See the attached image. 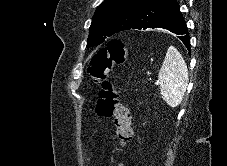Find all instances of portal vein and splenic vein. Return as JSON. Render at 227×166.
<instances>
[{
	"instance_id": "portal-vein-and-splenic-vein-1",
	"label": "portal vein and splenic vein",
	"mask_w": 227,
	"mask_h": 166,
	"mask_svg": "<svg viewBox=\"0 0 227 166\" xmlns=\"http://www.w3.org/2000/svg\"><path fill=\"white\" fill-rule=\"evenodd\" d=\"M155 85H159V81L155 82Z\"/></svg>"
}]
</instances>
